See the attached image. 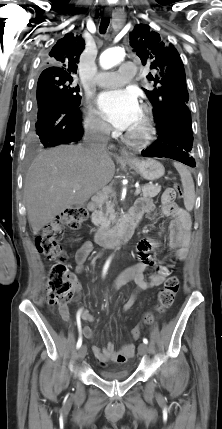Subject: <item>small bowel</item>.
<instances>
[{
	"label": "small bowel",
	"instance_id": "c3829d8e",
	"mask_svg": "<svg viewBox=\"0 0 222 429\" xmlns=\"http://www.w3.org/2000/svg\"><path fill=\"white\" fill-rule=\"evenodd\" d=\"M133 211L144 214L153 215L155 206L148 198L139 199L134 205ZM162 214L167 217H172L170 224L169 246L174 251L176 259L183 261L187 258L190 244L191 218L186 210L175 203L163 202ZM160 243L154 239H143L137 245L138 262L127 269L116 281L114 290H118L121 286L129 281H134L137 285V291L125 302L123 311L127 312L133 305L139 292L161 285L170 275L172 264L156 263L151 255V252L158 249ZM93 250V244L90 241L83 242L75 253V262L77 272H81L84 264ZM150 268L154 271L149 274L148 280L145 278V273ZM73 281L78 288V283L73 277ZM60 315L68 321L70 318L69 309L67 306L60 307ZM80 315L86 322H93L94 316L85 308L80 309ZM82 333L87 339L93 338V331L90 327L84 326ZM95 358L102 364L114 362L118 364L125 363L134 355L135 346L131 343L122 345L118 350L115 349L113 342H108L103 348L93 346L92 348Z\"/></svg>",
	"mask_w": 222,
	"mask_h": 429
}]
</instances>
